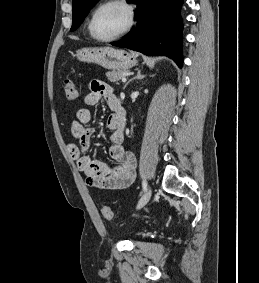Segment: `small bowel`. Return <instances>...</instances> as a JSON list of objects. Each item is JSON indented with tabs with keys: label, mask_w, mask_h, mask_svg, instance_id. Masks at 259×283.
Wrapping results in <instances>:
<instances>
[{
	"label": "small bowel",
	"mask_w": 259,
	"mask_h": 283,
	"mask_svg": "<svg viewBox=\"0 0 259 283\" xmlns=\"http://www.w3.org/2000/svg\"><path fill=\"white\" fill-rule=\"evenodd\" d=\"M104 99L109 108L114 112L106 120V127L110 131V146L108 149L114 166H108L102 161L94 160L87 155L91 146L94 130L88 127L92 114L88 108H79L75 120L71 124L72 136L78 143H68L67 151L73 158L80 171L86 176L89 186L101 189H124L130 186L136 176V158L123 146L124 119L120 118L116 109L120 105L119 98L112 89L101 81H93L90 91L85 95L86 105H96Z\"/></svg>",
	"instance_id": "1"
}]
</instances>
